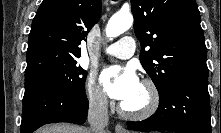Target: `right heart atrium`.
I'll return each mask as SVG.
<instances>
[{
  "label": "right heart atrium",
  "mask_w": 221,
  "mask_h": 133,
  "mask_svg": "<svg viewBox=\"0 0 221 133\" xmlns=\"http://www.w3.org/2000/svg\"><path fill=\"white\" fill-rule=\"evenodd\" d=\"M87 101L95 111L105 112L108 108V99L102 89L97 85L94 75H90L86 86Z\"/></svg>",
  "instance_id": "d8ad5b80"
}]
</instances>
